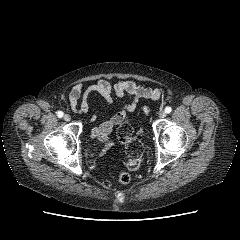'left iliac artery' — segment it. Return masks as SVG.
I'll use <instances>...</instances> for the list:
<instances>
[{
  "instance_id": "44dca946",
  "label": "left iliac artery",
  "mask_w": 240,
  "mask_h": 240,
  "mask_svg": "<svg viewBox=\"0 0 240 240\" xmlns=\"http://www.w3.org/2000/svg\"><path fill=\"white\" fill-rule=\"evenodd\" d=\"M171 111H172V108H171V107L167 106V107L165 108V112H166V113H170Z\"/></svg>"
}]
</instances>
